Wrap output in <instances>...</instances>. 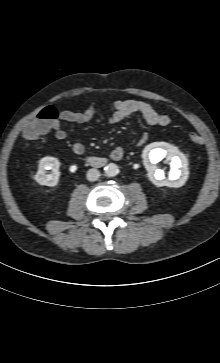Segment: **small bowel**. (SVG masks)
<instances>
[{"label": "small bowel", "instance_id": "1", "mask_svg": "<svg viewBox=\"0 0 220 363\" xmlns=\"http://www.w3.org/2000/svg\"><path fill=\"white\" fill-rule=\"evenodd\" d=\"M113 112L109 117V123L117 124L133 114H138L142 117L146 124L157 127H166L170 124V118L167 115L158 113L149 104L138 100H117L113 103ZM96 106L90 105L87 109L81 112L65 110L60 113V117L52 125L55 137L58 140L66 138V132L61 128V121L73 123H87L91 121L95 112ZM148 139V133L143 132L137 142L136 146L141 147ZM85 151L84 145L80 142L73 144V152L77 155H82ZM118 154H123L121 148H115L111 156L114 157Z\"/></svg>", "mask_w": 220, "mask_h": 363}]
</instances>
